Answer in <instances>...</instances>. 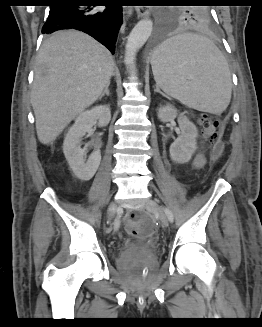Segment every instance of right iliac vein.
I'll use <instances>...</instances> for the list:
<instances>
[{
    "mask_svg": "<svg viewBox=\"0 0 262 327\" xmlns=\"http://www.w3.org/2000/svg\"><path fill=\"white\" fill-rule=\"evenodd\" d=\"M117 209V206L115 203H111L108 207V218L111 219Z\"/></svg>",
    "mask_w": 262,
    "mask_h": 327,
    "instance_id": "right-iliac-vein-1",
    "label": "right iliac vein"
}]
</instances>
